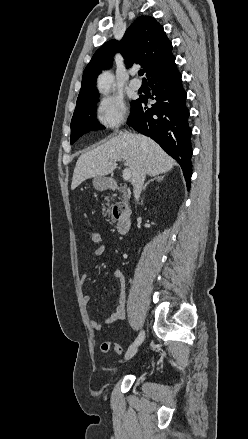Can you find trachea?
Listing matches in <instances>:
<instances>
[{
    "instance_id": "3493384b",
    "label": "trachea",
    "mask_w": 248,
    "mask_h": 439,
    "mask_svg": "<svg viewBox=\"0 0 248 439\" xmlns=\"http://www.w3.org/2000/svg\"><path fill=\"white\" fill-rule=\"evenodd\" d=\"M138 74H139V76H143L144 75V70H139Z\"/></svg>"
}]
</instances>
